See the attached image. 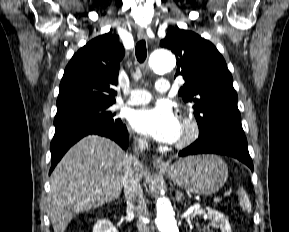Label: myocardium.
<instances>
[{
	"mask_svg": "<svg viewBox=\"0 0 289 232\" xmlns=\"http://www.w3.org/2000/svg\"><path fill=\"white\" fill-rule=\"evenodd\" d=\"M199 134L197 121L192 117H184L181 122V135L178 140V147H185L191 144Z\"/></svg>",
	"mask_w": 289,
	"mask_h": 232,
	"instance_id": "f54148a6",
	"label": "myocardium"
}]
</instances>
